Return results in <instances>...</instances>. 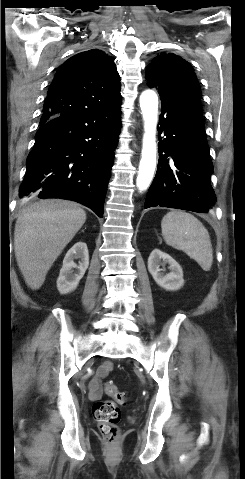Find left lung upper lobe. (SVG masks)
I'll return each instance as SVG.
<instances>
[{
	"label": "left lung upper lobe",
	"instance_id": "1",
	"mask_svg": "<svg viewBox=\"0 0 245 479\" xmlns=\"http://www.w3.org/2000/svg\"><path fill=\"white\" fill-rule=\"evenodd\" d=\"M150 88L158 89L161 98L173 99L194 95L201 99V90L192 66L181 57L160 54L147 69Z\"/></svg>",
	"mask_w": 245,
	"mask_h": 479
}]
</instances>
